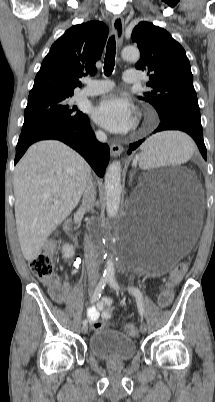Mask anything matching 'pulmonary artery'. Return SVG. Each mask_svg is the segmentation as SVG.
<instances>
[{"label": "pulmonary artery", "mask_w": 215, "mask_h": 402, "mask_svg": "<svg viewBox=\"0 0 215 402\" xmlns=\"http://www.w3.org/2000/svg\"><path fill=\"white\" fill-rule=\"evenodd\" d=\"M126 83H137L140 80L139 74L135 70H127L123 74ZM86 87L82 89L83 96H96L110 91L114 84L110 80H85Z\"/></svg>", "instance_id": "obj_1"}]
</instances>
